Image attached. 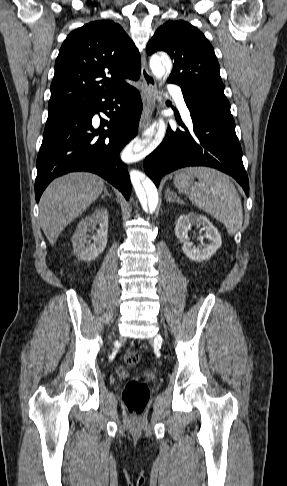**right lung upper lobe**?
Here are the masks:
<instances>
[{
	"mask_svg": "<svg viewBox=\"0 0 287 486\" xmlns=\"http://www.w3.org/2000/svg\"><path fill=\"white\" fill-rule=\"evenodd\" d=\"M140 55L122 27L109 20L90 22L72 31L55 62L48 110L78 108L102 94L137 80Z\"/></svg>",
	"mask_w": 287,
	"mask_h": 486,
	"instance_id": "cb5924a9",
	"label": "right lung upper lobe"
}]
</instances>
